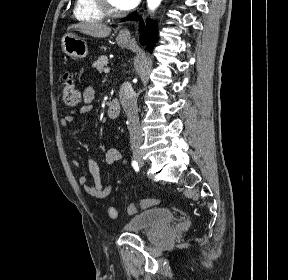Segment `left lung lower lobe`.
Instances as JSON below:
<instances>
[{
	"label": "left lung lower lobe",
	"mask_w": 288,
	"mask_h": 280,
	"mask_svg": "<svg viewBox=\"0 0 288 280\" xmlns=\"http://www.w3.org/2000/svg\"><path fill=\"white\" fill-rule=\"evenodd\" d=\"M138 18V14L137 13H133L132 15L128 16L127 18H125V20H129V19H137ZM146 28L144 23L141 21L140 22V43L142 45L146 44V49L150 52H152L153 46L155 44V40H156V31H155V24H153L151 21H149L147 19L146 21Z\"/></svg>",
	"instance_id": "1"
}]
</instances>
